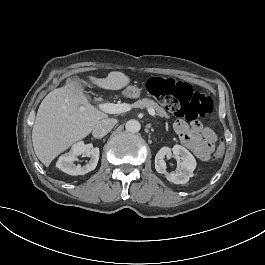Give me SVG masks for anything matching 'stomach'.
<instances>
[{"label":"stomach","mask_w":265,"mask_h":265,"mask_svg":"<svg viewBox=\"0 0 265 265\" xmlns=\"http://www.w3.org/2000/svg\"><path fill=\"white\" fill-rule=\"evenodd\" d=\"M125 95L129 98H139L141 96V90L135 86H129L125 91Z\"/></svg>","instance_id":"0dacf381"}]
</instances>
